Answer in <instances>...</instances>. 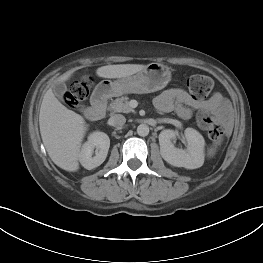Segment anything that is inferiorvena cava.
I'll list each match as a JSON object with an SVG mask.
<instances>
[{
    "mask_svg": "<svg viewBox=\"0 0 263 263\" xmlns=\"http://www.w3.org/2000/svg\"><path fill=\"white\" fill-rule=\"evenodd\" d=\"M126 122V118L121 114H115L110 117L109 123L112 126H123Z\"/></svg>",
    "mask_w": 263,
    "mask_h": 263,
    "instance_id": "obj_1",
    "label": "inferior vena cava"
}]
</instances>
